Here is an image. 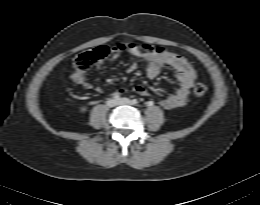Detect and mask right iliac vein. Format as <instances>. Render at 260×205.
<instances>
[{
  "mask_svg": "<svg viewBox=\"0 0 260 205\" xmlns=\"http://www.w3.org/2000/svg\"><path fill=\"white\" fill-rule=\"evenodd\" d=\"M118 105V100H116V99H109L108 101H107V106L108 107H115V106H117Z\"/></svg>",
  "mask_w": 260,
  "mask_h": 205,
  "instance_id": "63e3f726",
  "label": "right iliac vein"
}]
</instances>
